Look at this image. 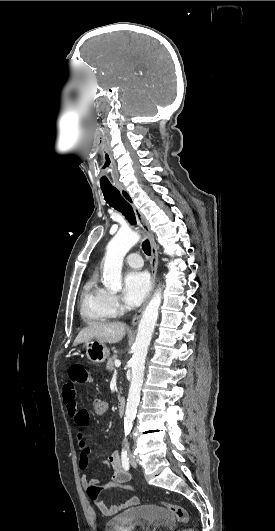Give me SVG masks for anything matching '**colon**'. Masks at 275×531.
I'll return each instance as SVG.
<instances>
[{"instance_id": "colon-1", "label": "colon", "mask_w": 275, "mask_h": 531, "mask_svg": "<svg viewBox=\"0 0 275 531\" xmlns=\"http://www.w3.org/2000/svg\"><path fill=\"white\" fill-rule=\"evenodd\" d=\"M94 411L97 415H104L107 411V404L104 400L96 398L93 402ZM112 487H116V490L118 491H124L127 489H131V486H127L124 484H116V483H103L101 485V488L103 490H110ZM132 493H137V488H132ZM87 494L95 498L98 496L99 491L97 489V486H89V490L87 491ZM96 506H99V503H96ZM163 507L166 509V511L170 512L171 515L180 523L187 524L190 520L189 514L186 509L170 504V503H163ZM185 531H193L192 528H186Z\"/></svg>"}]
</instances>
